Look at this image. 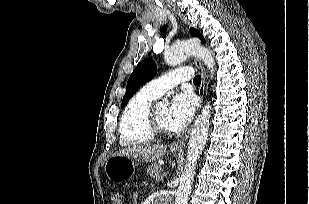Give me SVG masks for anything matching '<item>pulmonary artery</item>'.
<instances>
[{"mask_svg": "<svg viewBox=\"0 0 309 204\" xmlns=\"http://www.w3.org/2000/svg\"><path fill=\"white\" fill-rule=\"evenodd\" d=\"M192 77L193 71L190 68L172 70L145 84L143 90L150 95L159 97L165 91L181 82L190 80Z\"/></svg>", "mask_w": 309, "mask_h": 204, "instance_id": "1", "label": "pulmonary artery"}]
</instances>
